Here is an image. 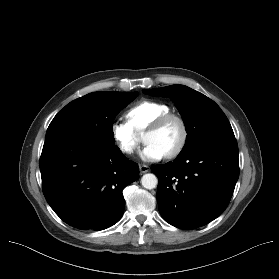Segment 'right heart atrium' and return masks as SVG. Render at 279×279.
Wrapping results in <instances>:
<instances>
[{
  "label": "right heart atrium",
  "instance_id": "1",
  "mask_svg": "<svg viewBox=\"0 0 279 279\" xmlns=\"http://www.w3.org/2000/svg\"><path fill=\"white\" fill-rule=\"evenodd\" d=\"M111 135L119 151L125 155H132L139 147L138 135L126 122H114L111 125Z\"/></svg>",
  "mask_w": 279,
  "mask_h": 279
}]
</instances>
